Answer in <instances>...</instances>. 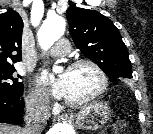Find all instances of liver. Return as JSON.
I'll list each match as a JSON object with an SVG mask.
<instances>
[{
  "label": "liver",
  "mask_w": 153,
  "mask_h": 134,
  "mask_svg": "<svg viewBox=\"0 0 153 134\" xmlns=\"http://www.w3.org/2000/svg\"><path fill=\"white\" fill-rule=\"evenodd\" d=\"M0 134H23V130L17 126L0 123Z\"/></svg>",
  "instance_id": "liver-1"
}]
</instances>
